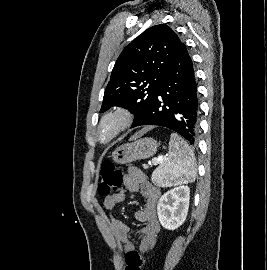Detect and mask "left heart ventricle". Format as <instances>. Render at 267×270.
Instances as JSON below:
<instances>
[{
	"mask_svg": "<svg viewBox=\"0 0 267 270\" xmlns=\"http://www.w3.org/2000/svg\"><path fill=\"white\" fill-rule=\"evenodd\" d=\"M115 128V124L113 123H107L106 125H104V127L102 128L101 131V136L103 139H106L108 136H110V134L113 132Z\"/></svg>",
	"mask_w": 267,
	"mask_h": 270,
	"instance_id": "1",
	"label": "left heart ventricle"
}]
</instances>
